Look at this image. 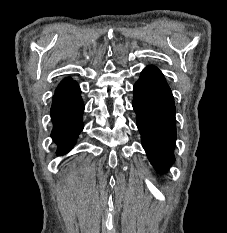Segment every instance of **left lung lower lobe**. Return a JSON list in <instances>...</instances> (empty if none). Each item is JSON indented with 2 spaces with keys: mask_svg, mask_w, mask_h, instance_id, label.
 Listing matches in <instances>:
<instances>
[{
  "mask_svg": "<svg viewBox=\"0 0 227 233\" xmlns=\"http://www.w3.org/2000/svg\"><path fill=\"white\" fill-rule=\"evenodd\" d=\"M133 92L142 145L154 168L165 173L175 161L176 120L171 89L160 70L148 66L135 83Z\"/></svg>",
  "mask_w": 227,
  "mask_h": 233,
  "instance_id": "0a47b994",
  "label": "left lung lower lobe"
}]
</instances>
